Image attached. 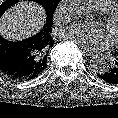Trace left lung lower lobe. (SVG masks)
I'll list each match as a JSON object with an SVG mask.
<instances>
[{
    "label": "left lung lower lobe",
    "instance_id": "1",
    "mask_svg": "<svg viewBox=\"0 0 118 118\" xmlns=\"http://www.w3.org/2000/svg\"><path fill=\"white\" fill-rule=\"evenodd\" d=\"M98 77L110 84H118V52L113 54L109 67L105 72L99 73Z\"/></svg>",
    "mask_w": 118,
    "mask_h": 118
}]
</instances>
